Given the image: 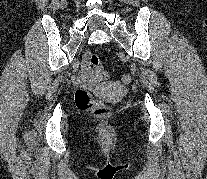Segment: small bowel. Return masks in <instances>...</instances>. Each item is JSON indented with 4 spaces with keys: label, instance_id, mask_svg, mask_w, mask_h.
<instances>
[{
    "label": "small bowel",
    "instance_id": "obj_1",
    "mask_svg": "<svg viewBox=\"0 0 207 179\" xmlns=\"http://www.w3.org/2000/svg\"><path fill=\"white\" fill-rule=\"evenodd\" d=\"M89 56L90 53L84 55L79 76L74 81L78 86L95 88L101 80L88 62Z\"/></svg>",
    "mask_w": 207,
    "mask_h": 179
}]
</instances>
